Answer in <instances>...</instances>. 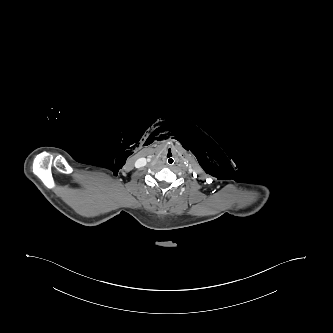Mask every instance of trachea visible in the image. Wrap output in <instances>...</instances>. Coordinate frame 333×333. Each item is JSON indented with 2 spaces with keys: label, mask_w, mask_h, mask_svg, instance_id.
Listing matches in <instances>:
<instances>
[{
  "label": "trachea",
  "mask_w": 333,
  "mask_h": 333,
  "mask_svg": "<svg viewBox=\"0 0 333 333\" xmlns=\"http://www.w3.org/2000/svg\"><path fill=\"white\" fill-rule=\"evenodd\" d=\"M163 161H164V163L167 164V165H172V164H174L175 161H176V156H175V154L172 153V152H167V153H165L164 156H163Z\"/></svg>",
  "instance_id": "obj_1"
}]
</instances>
